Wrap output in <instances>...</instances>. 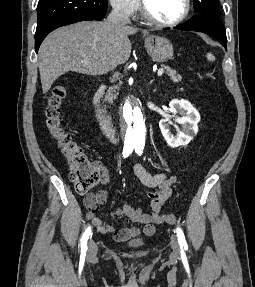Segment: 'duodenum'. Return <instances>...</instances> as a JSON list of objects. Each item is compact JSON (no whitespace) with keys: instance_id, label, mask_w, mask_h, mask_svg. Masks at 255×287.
<instances>
[{"instance_id":"obj_1","label":"duodenum","mask_w":255,"mask_h":287,"mask_svg":"<svg viewBox=\"0 0 255 287\" xmlns=\"http://www.w3.org/2000/svg\"><path fill=\"white\" fill-rule=\"evenodd\" d=\"M103 92H104V86H100L94 93L91 101V111L95 121L103 130V132L107 136L112 137L114 133L113 124L99 109V101Z\"/></svg>"}]
</instances>
